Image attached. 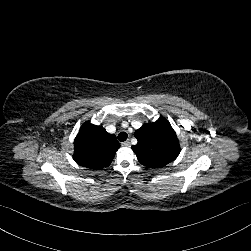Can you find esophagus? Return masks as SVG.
Returning a JSON list of instances; mask_svg holds the SVG:
<instances>
[{
  "label": "esophagus",
  "instance_id": "1",
  "mask_svg": "<svg viewBox=\"0 0 251 251\" xmlns=\"http://www.w3.org/2000/svg\"><path fill=\"white\" fill-rule=\"evenodd\" d=\"M122 146H129L130 145V141L126 140L125 142L121 143Z\"/></svg>",
  "mask_w": 251,
  "mask_h": 251
}]
</instances>
